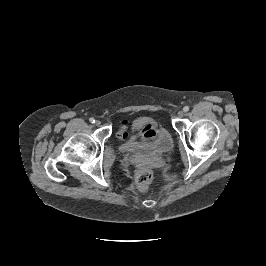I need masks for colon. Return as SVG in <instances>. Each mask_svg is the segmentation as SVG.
Segmentation results:
<instances>
[{"instance_id": "5ec220e1", "label": "colon", "mask_w": 266, "mask_h": 266, "mask_svg": "<svg viewBox=\"0 0 266 266\" xmlns=\"http://www.w3.org/2000/svg\"><path fill=\"white\" fill-rule=\"evenodd\" d=\"M152 180V171L149 167L138 169L135 175V184L141 190H146Z\"/></svg>"}]
</instances>
